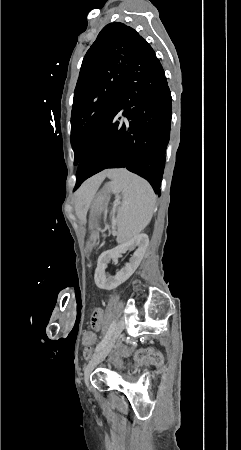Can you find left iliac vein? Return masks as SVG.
Listing matches in <instances>:
<instances>
[{
  "instance_id": "4c4485c4",
  "label": "left iliac vein",
  "mask_w": 241,
  "mask_h": 450,
  "mask_svg": "<svg viewBox=\"0 0 241 450\" xmlns=\"http://www.w3.org/2000/svg\"><path fill=\"white\" fill-rule=\"evenodd\" d=\"M124 329V321L120 320L114 330V334L108 342L102 347L96 355L93 357V359L85 366L84 368V380L89 385V377L92 371L96 368L98 364H100L110 353V351L117 345L119 341L122 340V331Z\"/></svg>"
}]
</instances>
